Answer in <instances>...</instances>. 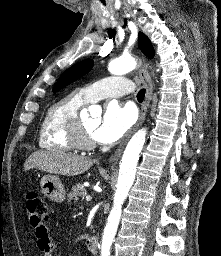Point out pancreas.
<instances>
[{"instance_id":"obj_1","label":"pancreas","mask_w":221,"mask_h":256,"mask_svg":"<svg viewBox=\"0 0 221 256\" xmlns=\"http://www.w3.org/2000/svg\"><path fill=\"white\" fill-rule=\"evenodd\" d=\"M86 195V190L83 185L78 184L77 186L72 187V191L68 194V202L74 200L78 201V197H84Z\"/></svg>"}]
</instances>
